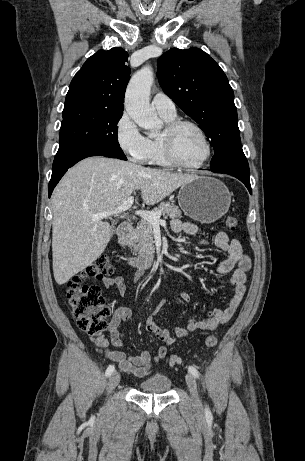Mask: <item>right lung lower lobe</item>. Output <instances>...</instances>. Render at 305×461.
<instances>
[{
  "label": "right lung lower lobe",
  "instance_id": "obj_1",
  "mask_svg": "<svg viewBox=\"0 0 305 461\" xmlns=\"http://www.w3.org/2000/svg\"><path fill=\"white\" fill-rule=\"evenodd\" d=\"M90 156L117 158L114 154L100 148L80 149L62 155H56L52 166L51 180L49 182V197L51 196L54 187L57 185L65 172L78 161Z\"/></svg>",
  "mask_w": 305,
  "mask_h": 461
}]
</instances>
